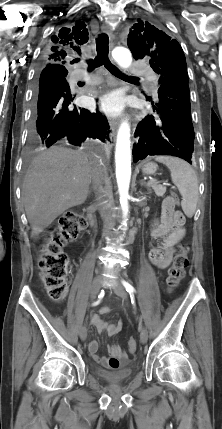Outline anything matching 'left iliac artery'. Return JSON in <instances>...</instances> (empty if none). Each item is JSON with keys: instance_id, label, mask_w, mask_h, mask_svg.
<instances>
[{"instance_id": "left-iliac-artery-1", "label": "left iliac artery", "mask_w": 222, "mask_h": 429, "mask_svg": "<svg viewBox=\"0 0 222 429\" xmlns=\"http://www.w3.org/2000/svg\"><path fill=\"white\" fill-rule=\"evenodd\" d=\"M122 284L125 287V289H126L127 292H129V293H134L135 292L134 287L132 285H130L128 282H126V281L123 280Z\"/></svg>"}]
</instances>
